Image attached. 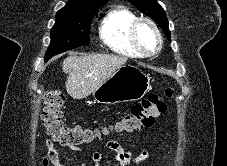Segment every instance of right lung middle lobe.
<instances>
[{
	"label": "right lung middle lobe",
	"mask_w": 227,
	"mask_h": 166,
	"mask_svg": "<svg viewBox=\"0 0 227 166\" xmlns=\"http://www.w3.org/2000/svg\"><path fill=\"white\" fill-rule=\"evenodd\" d=\"M103 5L79 13L57 14L56 23L51 29V44L45 60L58 53L88 45L92 17Z\"/></svg>",
	"instance_id": "obj_1"
}]
</instances>
